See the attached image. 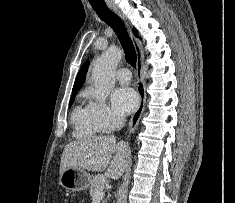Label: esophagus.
Instances as JSON below:
<instances>
[{
	"label": "esophagus",
	"instance_id": "esophagus-1",
	"mask_svg": "<svg viewBox=\"0 0 235 203\" xmlns=\"http://www.w3.org/2000/svg\"><path fill=\"white\" fill-rule=\"evenodd\" d=\"M108 7L116 13L118 16L122 17L120 11L116 8V6L112 3L108 4ZM123 18V17H122ZM124 19V18H123ZM130 36L133 42V45L136 50V56H137V70H136V76H137V92L139 96V102L137 109L135 110L134 114L132 115L130 122H129V133H133L138 126V123L142 117V114L145 109L146 104V93H145V84H144V73H143V51L141 47V43L138 41L137 38L134 37V35L130 31Z\"/></svg>",
	"mask_w": 235,
	"mask_h": 203
}]
</instances>
